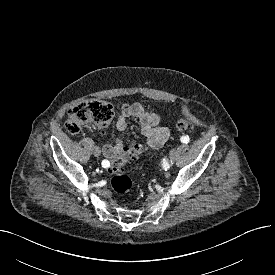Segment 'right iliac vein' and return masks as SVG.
Segmentation results:
<instances>
[{
    "label": "right iliac vein",
    "instance_id": "63e3f726",
    "mask_svg": "<svg viewBox=\"0 0 275 275\" xmlns=\"http://www.w3.org/2000/svg\"><path fill=\"white\" fill-rule=\"evenodd\" d=\"M94 156L98 157L101 154L100 148L98 146H95L93 149Z\"/></svg>",
    "mask_w": 275,
    "mask_h": 275
}]
</instances>
